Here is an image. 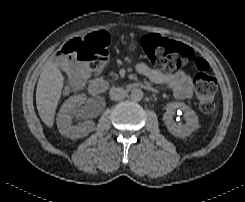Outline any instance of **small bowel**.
I'll return each mask as SVG.
<instances>
[{
    "label": "small bowel",
    "mask_w": 245,
    "mask_h": 202,
    "mask_svg": "<svg viewBox=\"0 0 245 202\" xmlns=\"http://www.w3.org/2000/svg\"><path fill=\"white\" fill-rule=\"evenodd\" d=\"M103 33L110 36L108 31H103ZM136 71L154 84L166 85L180 100H186L192 97V81L184 71L163 73L158 69L148 66L146 63H139L136 66ZM77 86L82 87L83 82L81 81ZM68 91L69 87L65 84L63 86V92L67 93Z\"/></svg>",
    "instance_id": "c3829d8e"
}]
</instances>
